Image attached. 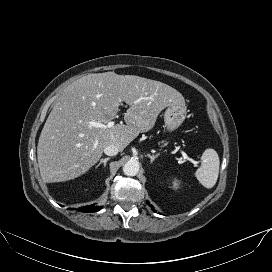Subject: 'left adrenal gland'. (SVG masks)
I'll return each instance as SVG.
<instances>
[{
    "label": "left adrenal gland",
    "mask_w": 272,
    "mask_h": 272,
    "mask_svg": "<svg viewBox=\"0 0 272 272\" xmlns=\"http://www.w3.org/2000/svg\"><path fill=\"white\" fill-rule=\"evenodd\" d=\"M158 155H159V154H155V155L147 154L146 156L150 158V162L152 163V162L155 160V158L158 157Z\"/></svg>",
    "instance_id": "left-adrenal-gland-1"
}]
</instances>
